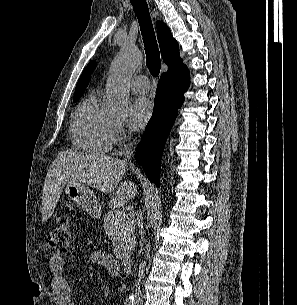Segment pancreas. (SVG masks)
<instances>
[{
	"label": "pancreas",
	"instance_id": "cf45deb5",
	"mask_svg": "<svg viewBox=\"0 0 297 305\" xmlns=\"http://www.w3.org/2000/svg\"><path fill=\"white\" fill-rule=\"evenodd\" d=\"M104 230L115 247L116 257L127 258L135 246L133 216L122 210H110L104 217Z\"/></svg>",
	"mask_w": 297,
	"mask_h": 305
}]
</instances>
